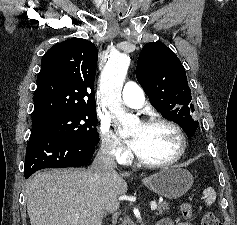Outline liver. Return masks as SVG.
Instances as JSON below:
<instances>
[{"label":"liver","mask_w":237,"mask_h":225,"mask_svg":"<svg viewBox=\"0 0 237 225\" xmlns=\"http://www.w3.org/2000/svg\"><path fill=\"white\" fill-rule=\"evenodd\" d=\"M95 176L91 168L51 169L37 173L27 184L31 225H102L106 211L118 208L127 192L124 176Z\"/></svg>","instance_id":"6515ba94"}]
</instances>
